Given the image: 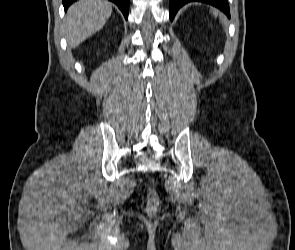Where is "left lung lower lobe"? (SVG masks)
<instances>
[{
  "label": "left lung lower lobe",
  "instance_id": "0a47b994",
  "mask_svg": "<svg viewBox=\"0 0 295 250\" xmlns=\"http://www.w3.org/2000/svg\"><path fill=\"white\" fill-rule=\"evenodd\" d=\"M188 2H203V3L211 4L219 8L221 11H223L228 16V18L230 17L228 0H170V20L171 21L173 20L179 8Z\"/></svg>",
  "mask_w": 295,
  "mask_h": 250
}]
</instances>
